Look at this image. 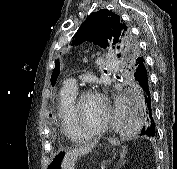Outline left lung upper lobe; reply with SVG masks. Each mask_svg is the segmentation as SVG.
Returning <instances> with one entry per match:
<instances>
[{"label":"left lung upper lobe","instance_id":"1","mask_svg":"<svg viewBox=\"0 0 177 169\" xmlns=\"http://www.w3.org/2000/svg\"><path fill=\"white\" fill-rule=\"evenodd\" d=\"M74 38L72 45H78L84 41H91L103 48L113 45V48L118 51V56L128 63L140 55L129 27L119 15L106 9L91 13L81 24ZM56 79L57 75L52 74V85L55 84Z\"/></svg>","mask_w":177,"mask_h":169}]
</instances>
